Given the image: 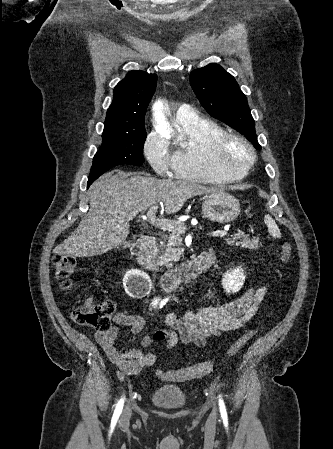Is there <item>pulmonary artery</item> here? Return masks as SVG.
Masks as SVG:
<instances>
[{"instance_id": "pulmonary-artery-1", "label": "pulmonary artery", "mask_w": 333, "mask_h": 449, "mask_svg": "<svg viewBox=\"0 0 333 449\" xmlns=\"http://www.w3.org/2000/svg\"><path fill=\"white\" fill-rule=\"evenodd\" d=\"M175 119L177 122H192L197 119V114L191 106L182 104L175 114Z\"/></svg>"}]
</instances>
